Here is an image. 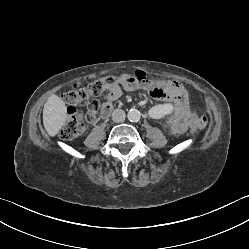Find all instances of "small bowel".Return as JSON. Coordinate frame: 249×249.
Returning a JSON list of instances; mask_svg holds the SVG:
<instances>
[{
	"mask_svg": "<svg viewBox=\"0 0 249 249\" xmlns=\"http://www.w3.org/2000/svg\"><path fill=\"white\" fill-rule=\"evenodd\" d=\"M122 82L105 90L102 95L101 118L109 116L113 109V103L122 95V91H135L139 88L146 89L154 100L165 98L174 101L178 106L177 115L170 121V130L173 134H182L191 131L195 114L189 104L186 91L181 83L176 80H160L136 71L131 75L120 76ZM162 94V97H161Z\"/></svg>",
	"mask_w": 249,
	"mask_h": 249,
	"instance_id": "small-bowel-1",
	"label": "small bowel"
}]
</instances>
